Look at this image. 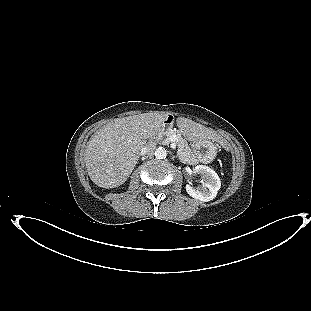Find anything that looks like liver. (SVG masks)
Listing matches in <instances>:
<instances>
[{
    "label": "liver",
    "instance_id": "liver-1",
    "mask_svg": "<svg viewBox=\"0 0 311 311\" xmlns=\"http://www.w3.org/2000/svg\"><path fill=\"white\" fill-rule=\"evenodd\" d=\"M168 118L166 112H150L117 118L99 129L89 140L85 163L92 182L102 188H115L132 173L146 139L155 135ZM180 130L206 138V128L186 118H178Z\"/></svg>",
    "mask_w": 311,
    "mask_h": 311
}]
</instances>
